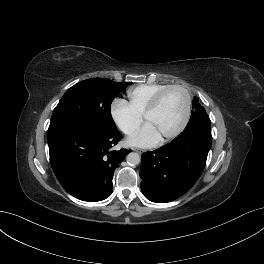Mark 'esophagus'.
I'll use <instances>...</instances> for the list:
<instances>
[{
	"label": "esophagus",
	"mask_w": 264,
	"mask_h": 264,
	"mask_svg": "<svg viewBox=\"0 0 264 264\" xmlns=\"http://www.w3.org/2000/svg\"><path fill=\"white\" fill-rule=\"evenodd\" d=\"M133 150L136 151L139 154L143 153V151L142 150H139V149H133Z\"/></svg>",
	"instance_id": "1"
}]
</instances>
